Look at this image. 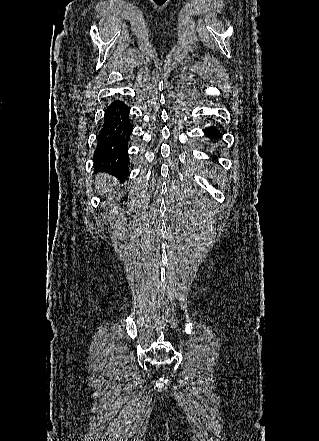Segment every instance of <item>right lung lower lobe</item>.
<instances>
[{
    "label": "right lung lower lobe",
    "mask_w": 319,
    "mask_h": 441,
    "mask_svg": "<svg viewBox=\"0 0 319 441\" xmlns=\"http://www.w3.org/2000/svg\"><path fill=\"white\" fill-rule=\"evenodd\" d=\"M129 112L130 108L122 100H112L106 108L94 154L97 169L120 180H125L129 173L127 149L133 130Z\"/></svg>",
    "instance_id": "1"
}]
</instances>
